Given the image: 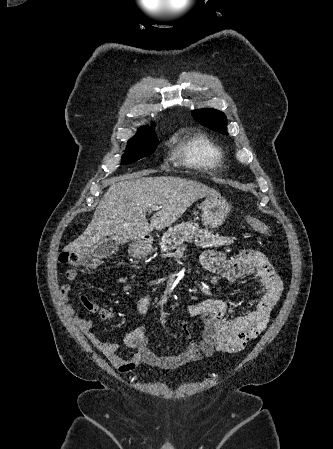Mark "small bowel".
Wrapping results in <instances>:
<instances>
[{"instance_id":"c3829d8e","label":"small bowel","mask_w":333,"mask_h":449,"mask_svg":"<svg viewBox=\"0 0 333 449\" xmlns=\"http://www.w3.org/2000/svg\"><path fill=\"white\" fill-rule=\"evenodd\" d=\"M200 263L207 272L216 274L228 282H235L248 276L255 277L261 286V295L254 311L231 320H225L227 306L221 300H203L189 304L187 313L190 316L202 317L205 323L204 332L201 339L195 341L188 333L187 322L180 321L179 326L188 335V346L176 355H159L154 352L146 334V327L140 325L125 336V345L135 349L136 352L130 357H124L119 353L118 344L102 341L93 331L92 322L81 317L71 306L70 284L61 287L60 302L70 319L93 346L122 373L132 371L142 364L172 369L210 356L214 351L238 352L244 349L249 341L259 336L268 324L271 312L283 292L278 271L266 256L251 249L242 250L230 259L219 251H205L200 256ZM65 277L68 281L74 282L77 279V271L68 269ZM77 295L83 307L89 312H98L104 320L114 316L111 310L99 308L81 291L77 290ZM151 303L150 295H145L138 301V311L142 316L148 315Z\"/></svg>"}]
</instances>
